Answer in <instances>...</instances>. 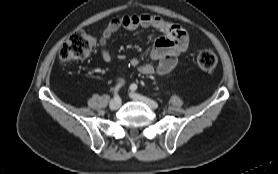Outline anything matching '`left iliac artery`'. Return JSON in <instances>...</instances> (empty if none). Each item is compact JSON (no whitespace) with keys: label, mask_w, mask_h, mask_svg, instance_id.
<instances>
[{"label":"left iliac artery","mask_w":278,"mask_h":174,"mask_svg":"<svg viewBox=\"0 0 278 174\" xmlns=\"http://www.w3.org/2000/svg\"><path fill=\"white\" fill-rule=\"evenodd\" d=\"M137 88H138V86H137L136 84H134V83L130 85V89H131L132 91H136Z\"/></svg>","instance_id":"obj_1"}]
</instances>
